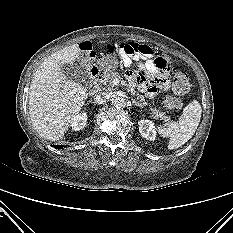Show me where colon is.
I'll return each instance as SVG.
<instances>
[{"label":"colon","mask_w":233,"mask_h":233,"mask_svg":"<svg viewBox=\"0 0 233 233\" xmlns=\"http://www.w3.org/2000/svg\"><path fill=\"white\" fill-rule=\"evenodd\" d=\"M173 90L177 94H184L189 90L190 83L188 75L185 72H178L175 74L173 78ZM164 103L166 107L171 109H180L182 107V102L180 99L173 97V96H167L164 99Z\"/></svg>","instance_id":"colon-1"}]
</instances>
